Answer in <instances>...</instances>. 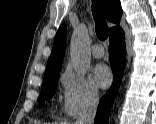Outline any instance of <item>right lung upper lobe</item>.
Here are the masks:
<instances>
[{
  "label": "right lung upper lobe",
  "mask_w": 156,
  "mask_h": 124,
  "mask_svg": "<svg viewBox=\"0 0 156 124\" xmlns=\"http://www.w3.org/2000/svg\"><path fill=\"white\" fill-rule=\"evenodd\" d=\"M99 2L103 9L106 19L110 22L118 24L123 13L120 2L118 0H99ZM119 29L121 28H111L110 35ZM65 46L66 27L65 25H63L59 28L55 36L53 49L47 63L44 78L59 74L64 56Z\"/></svg>",
  "instance_id": "obj_1"
}]
</instances>
